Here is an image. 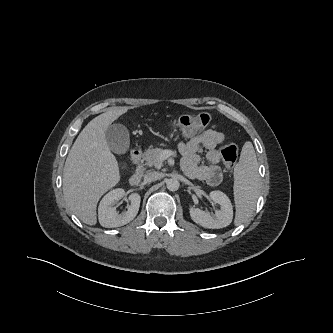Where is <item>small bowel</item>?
Masks as SVG:
<instances>
[{
	"instance_id": "obj_1",
	"label": "small bowel",
	"mask_w": 333,
	"mask_h": 333,
	"mask_svg": "<svg viewBox=\"0 0 333 333\" xmlns=\"http://www.w3.org/2000/svg\"><path fill=\"white\" fill-rule=\"evenodd\" d=\"M224 139L223 133L215 127L207 129L197 135H192L185 142L178 144L182 154V169L193 179L206 182L210 186L218 185L222 180V171L219 166L220 153L216 146ZM207 150V165L200 164L202 150Z\"/></svg>"
}]
</instances>
